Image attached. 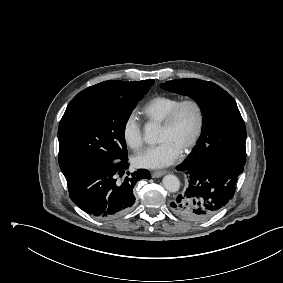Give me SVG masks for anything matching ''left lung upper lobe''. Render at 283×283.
<instances>
[{"instance_id":"obj_1","label":"left lung upper lobe","mask_w":283,"mask_h":283,"mask_svg":"<svg viewBox=\"0 0 283 283\" xmlns=\"http://www.w3.org/2000/svg\"><path fill=\"white\" fill-rule=\"evenodd\" d=\"M161 87L193 98L203 110L202 133L185 165L196 167L212 161L245 164L246 128L231 95L215 83L193 78L167 81Z\"/></svg>"}]
</instances>
